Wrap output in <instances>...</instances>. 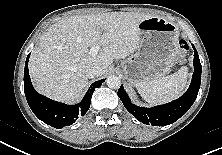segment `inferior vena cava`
Returning a JSON list of instances; mask_svg holds the SVG:
<instances>
[{"instance_id": "1", "label": "inferior vena cava", "mask_w": 222, "mask_h": 155, "mask_svg": "<svg viewBox=\"0 0 222 155\" xmlns=\"http://www.w3.org/2000/svg\"><path fill=\"white\" fill-rule=\"evenodd\" d=\"M85 72L88 78H94L101 76L103 73V69L96 64H91L87 66Z\"/></svg>"}]
</instances>
